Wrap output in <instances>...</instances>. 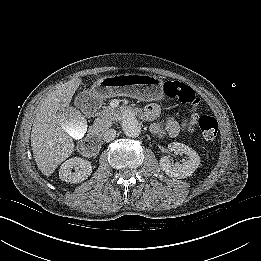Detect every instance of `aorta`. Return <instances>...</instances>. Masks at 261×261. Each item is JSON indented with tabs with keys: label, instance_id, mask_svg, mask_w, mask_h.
I'll list each match as a JSON object with an SVG mask.
<instances>
[{
	"label": "aorta",
	"instance_id": "aorta-1",
	"mask_svg": "<svg viewBox=\"0 0 261 261\" xmlns=\"http://www.w3.org/2000/svg\"><path fill=\"white\" fill-rule=\"evenodd\" d=\"M122 128L126 136L136 138L141 133V125L133 112H126L122 117ZM76 136V135H75ZM79 136V135H78Z\"/></svg>",
	"mask_w": 261,
	"mask_h": 261
}]
</instances>
